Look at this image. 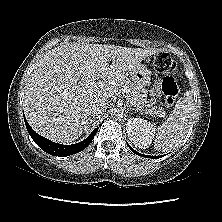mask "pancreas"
Instances as JSON below:
<instances>
[{
    "instance_id": "cf45deb5",
    "label": "pancreas",
    "mask_w": 222,
    "mask_h": 222,
    "mask_svg": "<svg viewBox=\"0 0 222 222\" xmlns=\"http://www.w3.org/2000/svg\"><path fill=\"white\" fill-rule=\"evenodd\" d=\"M122 93L126 94L128 100L139 111H146L152 116L164 117L166 112L161 107H152L150 102L147 101V91L143 88H139L132 83H126L121 86Z\"/></svg>"
}]
</instances>
